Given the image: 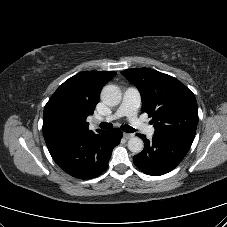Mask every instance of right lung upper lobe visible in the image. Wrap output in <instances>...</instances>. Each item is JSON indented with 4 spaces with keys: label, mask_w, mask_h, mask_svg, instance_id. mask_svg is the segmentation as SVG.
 Instances as JSON below:
<instances>
[{
    "label": "right lung upper lobe",
    "mask_w": 227,
    "mask_h": 227,
    "mask_svg": "<svg viewBox=\"0 0 227 227\" xmlns=\"http://www.w3.org/2000/svg\"><path fill=\"white\" fill-rule=\"evenodd\" d=\"M115 75L116 72L85 71L61 84L44 108L46 144L90 132L86 119L93 114L103 86Z\"/></svg>",
    "instance_id": "obj_1"
}]
</instances>
